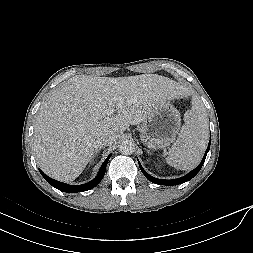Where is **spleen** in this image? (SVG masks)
<instances>
[{"instance_id":"1","label":"spleen","mask_w":253,"mask_h":253,"mask_svg":"<svg viewBox=\"0 0 253 253\" xmlns=\"http://www.w3.org/2000/svg\"><path fill=\"white\" fill-rule=\"evenodd\" d=\"M208 139L207 119L201 108L194 104L184 115L179 136L166 157L167 164L191 170L201 161Z\"/></svg>"}]
</instances>
